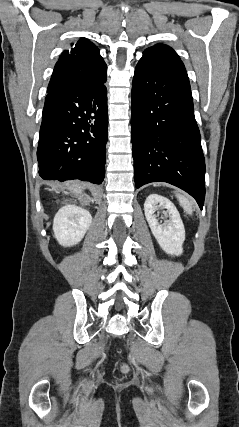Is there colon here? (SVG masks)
Listing matches in <instances>:
<instances>
[{
    "instance_id": "obj_1",
    "label": "colon",
    "mask_w": 239,
    "mask_h": 427,
    "mask_svg": "<svg viewBox=\"0 0 239 427\" xmlns=\"http://www.w3.org/2000/svg\"><path fill=\"white\" fill-rule=\"evenodd\" d=\"M120 370L122 373H126L128 371V368H127V366L123 365V366H121Z\"/></svg>"
}]
</instances>
